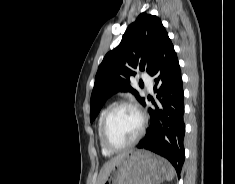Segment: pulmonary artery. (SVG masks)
Here are the masks:
<instances>
[{
	"mask_svg": "<svg viewBox=\"0 0 235 184\" xmlns=\"http://www.w3.org/2000/svg\"><path fill=\"white\" fill-rule=\"evenodd\" d=\"M144 80H145V83H146L147 87H148L149 89H151V88H152V85H153L152 78H151L150 76H148V75H145V76H144Z\"/></svg>",
	"mask_w": 235,
	"mask_h": 184,
	"instance_id": "1",
	"label": "pulmonary artery"
}]
</instances>
